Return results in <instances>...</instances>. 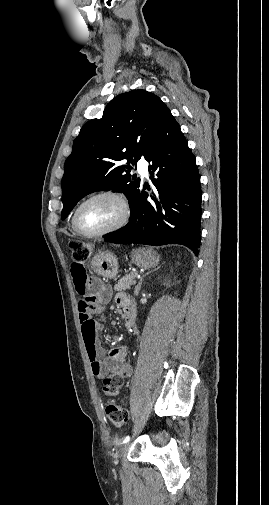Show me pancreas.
I'll use <instances>...</instances> for the list:
<instances>
[{
  "label": "pancreas",
  "mask_w": 269,
  "mask_h": 505,
  "mask_svg": "<svg viewBox=\"0 0 269 505\" xmlns=\"http://www.w3.org/2000/svg\"><path fill=\"white\" fill-rule=\"evenodd\" d=\"M136 274L131 272L127 275H125L123 278L118 280V282L114 286L115 291H125L127 289H130L131 286L136 282L135 280Z\"/></svg>",
  "instance_id": "1"
}]
</instances>
